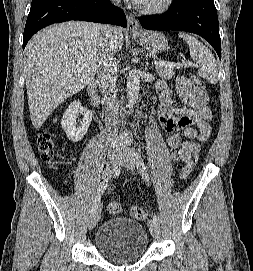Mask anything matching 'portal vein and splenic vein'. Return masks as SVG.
I'll use <instances>...</instances> for the list:
<instances>
[{
    "label": "portal vein and splenic vein",
    "instance_id": "obj_1",
    "mask_svg": "<svg viewBox=\"0 0 253 271\" xmlns=\"http://www.w3.org/2000/svg\"><path fill=\"white\" fill-rule=\"evenodd\" d=\"M155 65H160V66H166V67H170V68H181V67H185L187 66V63H182V64H177V63H172V62H165V61H155L154 62Z\"/></svg>",
    "mask_w": 253,
    "mask_h": 271
}]
</instances>
